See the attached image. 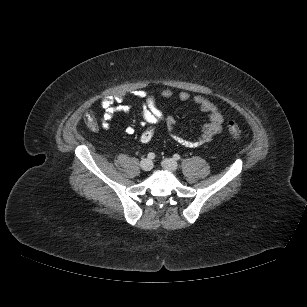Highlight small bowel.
<instances>
[{
    "label": "small bowel",
    "mask_w": 307,
    "mask_h": 307,
    "mask_svg": "<svg viewBox=\"0 0 307 307\" xmlns=\"http://www.w3.org/2000/svg\"><path fill=\"white\" fill-rule=\"evenodd\" d=\"M139 98L143 99L141 105V117L142 124L145 125H157L159 122L164 121L169 135L178 143L186 147H200L208 142H210L216 135L222 131L223 116L219 111L218 107L209 99L196 95L191 98V95L182 91L178 94V98L181 101L192 100L202 112L207 114L208 122L203 126L200 136L194 140H189L176 132V121L173 117L167 116L164 117L162 111L158 108L156 103L155 96L148 94L147 92L140 91L136 94ZM162 98H170L173 96L171 90H163L160 93ZM123 99L122 96L117 97L116 99L112 97H106L101 100L100 106L103 110V120L101 126L103 129H109L110 122L117 113L128 112L129 108L124 105H115V101L119 102ZM93 130H96L97 125L91 127ZM126 133L129 135L134 134L135 129L133 126L128 125L125 129Z\"/></svg>",
    "instance_id": "small-bowel-1"
}]
</instances>
